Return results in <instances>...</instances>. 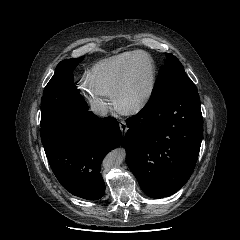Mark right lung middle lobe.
<instances>
[{"label": "right lung middle lobe", "mask_w": 240, "mask_h": 240, "mask_svg": "<svg viewBox=\"0 0 240 240\" xmlns=\"http://www.w3.org/2000/svg\"><path fill=\"white\" fill-rule=\"evenodd\" d=\"M84 59H66L61 61L43 91L41 100L42 127L53 119L59 112L67 113L74 98L80 97L74 83L73 70Z\"/></svg>", "instance_id": "right-lung-middle-lobe-1"}]
</instances>
